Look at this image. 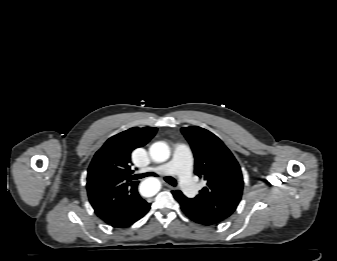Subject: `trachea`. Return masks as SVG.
<instances>
[{"mask_svg": "<svg viewBox=\"0 0 337 261\" xmlns=\"http://www.w3.org/2000/svg\"><path fill=\"white\" fill-rule=\"evenodd\" d=\"M153 175H155V174L154 173L137 174V175L133 176V179H142V178H145V177H148V176H153ZM165 181L172 186L177 185L176 180L172 177H166Z\"/></svg>", "mask_w": 337, "mask_h": 261, "instance_id": "obj_1", "label": "trachea"}]
</instances>
